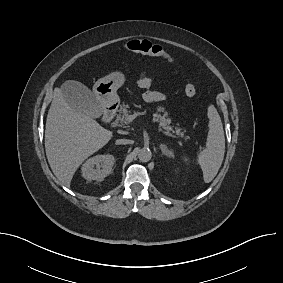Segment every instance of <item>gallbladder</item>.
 <instances>
[{
	"instance_id": "gallbladder-1",
	"label": "gallbladder",
	"mask_w": 283,
	"mask_h": 283,
	"mask_svg": "<svg viewBox=\"0 0 283 283\" xmlns=\"http://www.w3.org/2000/svg\"><path fill=\"white\" fill-rule=\"evenodd\" d=\"M65 101L75 111L97 118L102 114V107L95 95L84 84L68 80L61 85Z\"/></svg>"
}]
</instances>
